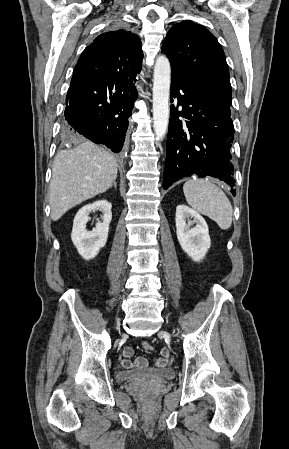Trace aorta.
<instances>
[{
    "instance_id": "1",
    "label": "aorta",
    "mask_w": 289,
    "mask_h": 449,
    "mask_svg": "<svg viewBox=\"0 0 289 449\" xmlns=\"http://www.w3.org/2000/svg\"><path fill=\"white\" fill-rule=\"evenodd\" d=\"M171 67L164 55L157 57L153 81V128L157 140H162L169 123Z\"/></svg>"
}]
</instances>
